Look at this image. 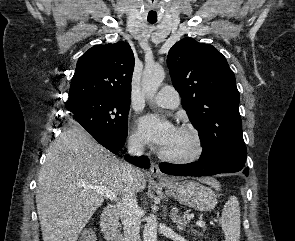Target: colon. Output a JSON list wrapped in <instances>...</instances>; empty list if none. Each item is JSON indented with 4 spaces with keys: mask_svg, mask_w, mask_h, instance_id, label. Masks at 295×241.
<instances>
[{
    "mask_svg": "<svg viewBox=\"0 0 295 241\" xmlns=\"http://www.w3.org/2000/svg\"><path fill=\"white\" fill-rule=\"evenodd\" d=\"M79 241H93V234L89 230H84Z\"/></svg>",
    "mask_w": 295,
    "mask_h": 241,
    "instance_id": "1",
    "label": "colon"
}]
</instances>
